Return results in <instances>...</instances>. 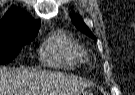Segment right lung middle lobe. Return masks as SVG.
Masks as SVG:
<instances>
[{
  "label": "right lung middle lobe",
  "instance_id": "1",
  "mask_svg": "<svg viewBox=\"0 0 135 95\" xmlns=\"http://www.w3.org/2000/svg\"><path fill=\"white\" fill-rule=\"evenodd\" d=\"M37 32H13L0 35V64L11 62L22 46L28 44Z\"/></svg>",
  "mask_w": 135,
  "mask_h": 95
}]
</instances>
